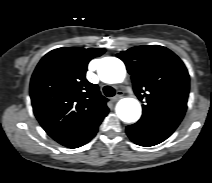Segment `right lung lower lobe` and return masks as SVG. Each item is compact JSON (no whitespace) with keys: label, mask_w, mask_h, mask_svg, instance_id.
Returning a JSON list of instances; mask_svg holds the SVG:
<instances>
[{"label":"right lung lower lobe","mask_w":212,"mask_h":183,"mask_svg":"<svg viewBox=\"0 0 212 183\" xmlns=\"http://www.w3.org/2000/svg\"><path fill=\"white\" fill-rule=\"evenodd\" d=\"M97 130L95 132H93L92 134H90L86 139H84L83 141L79 142V143H76L74 145H71V146H67L69 148H77V147H80L84 144H86L87 142H89L96 134Z\"/></svg>","instance_id":"98d812e1"}]
</instances>
